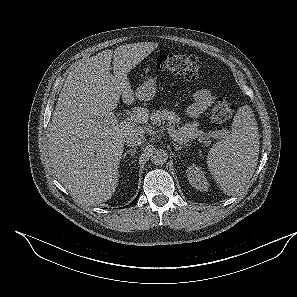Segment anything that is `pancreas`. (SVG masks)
Returning a JSON list of instances; mask_svg holds the SVG:
<instances>
[{
  "mask_svg": "<svg viewBox=\"0 0 297 297\" xmlns=\"http://www.w3.org/2000/svg\"><path fill=\"white\" fill-rule=\"evenodd\" d=\"M151 121L153 124L167 122L170 128L173 129L175 133L182 138V142L185 143L197 140L205 145H208L213 137L211 132L205 133L202 130H199L196 123H186L185 125L180 126V117L175 112L168 109L154 111L151 114ZM176 124L178 129H175Z\"/></svg>",
  "mask_w": 297,
  "mask_h": 297,
  "instance_id": "pancreas-1",
  "label": "pancreas"
}]
</instances>
